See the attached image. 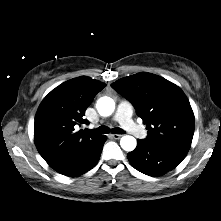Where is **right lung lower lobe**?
<instances>
[{
  "instance_id": "1",
  "label": "right lung lower lobe",
  "mask_w": 221,
  "mask_h": 221,
  "mask_svg": "<svg viewBox=\"0 0 221 221\" xmlns=\"http://www.w3.org/2000/svg\"><path fill=\"white\" fill-rule=\"evenodd\" d=\"M106 139H107V137L104 135L99 147L95 150V152H93L91 156H89L82 163H80L78 166H76L72 171H70L64 175L70 176V177H75V176H78V175H81V174L87 172L92 167H94L100 158L102 148H103V145H104V142L106 141Z\"/></svg>"
}]
</instances>
